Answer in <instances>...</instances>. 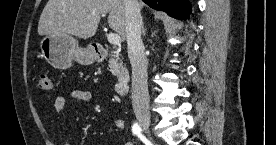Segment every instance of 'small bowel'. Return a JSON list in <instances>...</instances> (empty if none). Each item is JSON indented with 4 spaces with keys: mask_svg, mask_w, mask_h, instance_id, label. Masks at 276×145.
Listing matches in <instances>:
<instances>
[{
    "mask_svg": "<svg viewBox=\"0 0 276 145\" xmlns=\"http://www.w3.org/2000/svg\"><path fill=\"white\" fill-rule=\"evenodd\" d=\"M72 99L79 102H91L93 100V95L87 90H72L68 92L65 96H58L54 101V109L58 114H61L66 107V99ZM116 128L123 130L125 128V121L122 119H117L115 121ZM61 135L62 131L59 132ZM64 145H70L68 142H65ZM124 145H131L130 142H126Z\"/></svg>",
    "mask_w": 276,
    "mask_h": 145,
    "instance_id": "1",
    "label": "small bowel"
}]
</instances>
